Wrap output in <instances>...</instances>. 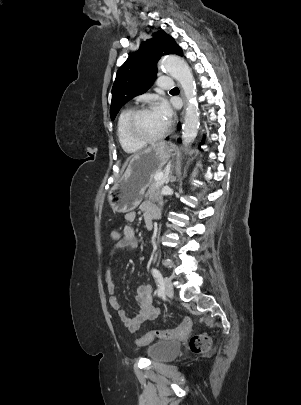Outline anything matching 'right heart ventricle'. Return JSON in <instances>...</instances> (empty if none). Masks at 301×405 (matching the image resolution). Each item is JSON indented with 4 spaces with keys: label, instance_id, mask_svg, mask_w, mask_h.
<instances>
[{
    "label": "right heart ventricle",
    "instance_id": "right-heart-ventricle-1",
    "mask_svg": "<svg viewBox=\"0 0 301 405\" xmlns=\"http://www.w3.org/2000/svg\"><path fill=\"white\" fill-rule=\"evenodd\" d=\"M130 113L131 109H124L120 113L117 120L116 134L122 149L128 154H133L140 151L143 145L135 143L127 135L126 122Z\"/></svg>",
    "mask_w": 301,
    "mask_h": 405
}]
</instances>
